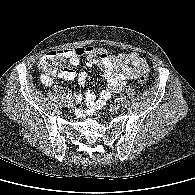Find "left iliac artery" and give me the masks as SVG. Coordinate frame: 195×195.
Returning a JSON list of instances; mask_svg holds the SVG:
<instances>
[{
    "label": "left iliac artery",
    "instance_id": "44dca946",
    "mask_svg": "<svg viewBox=\"0 0 195 195\" xmlns=\"http://www.w3.org/2000/svg\"><path fill=\"white\" fill-rule=\"evenodd\" d=\"M115 102H118L119 103L120 102V98H116L115 99Z\"/></svg>",
    "mask_w": 195,
    "mask_h": 195
}]
</instances>
